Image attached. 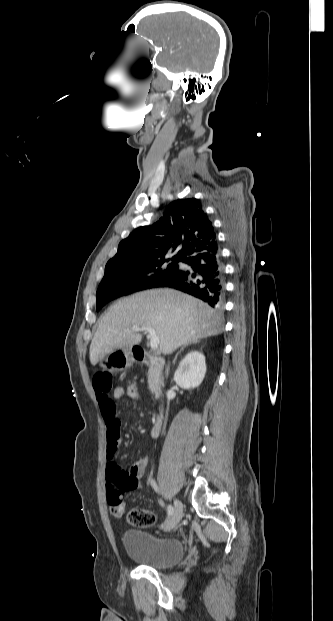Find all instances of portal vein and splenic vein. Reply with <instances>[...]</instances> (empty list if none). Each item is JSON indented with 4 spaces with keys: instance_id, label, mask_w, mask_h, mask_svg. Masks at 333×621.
<instances>
[{
    "instance_id": "obj_1",
    "label": "portal vein and splenic vein",
    "mask_w": 333,
    "mask_h": 621,
    "mask_svg": "<svg viewBox=\"0 0 333 621\" xmlns=\"http://www.w3.org/2000/svg\"><path fill=\"white\" fill-rule=\"evenodd\" d=\"M134 332H138V331H146L149 334L150 337V346L151 349L155 350L158 347L159 344V336L156 334L155 330L151 327H139V326H134L131 329Z\"/></svg>"
}]
</instances>
